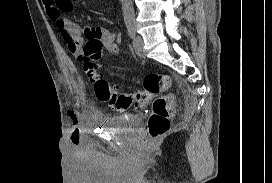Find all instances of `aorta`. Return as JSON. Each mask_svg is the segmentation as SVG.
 <instances>
[{
  "label": "aorta",
  "instance_id": "aorta-1",
  "mask_svg": "<svg viewBox=\"0 0 272 183\" xmlns=\"http://www.w3.org/2000/svg\"><path fill=\"white\" fill-rule=\"evenodd\" d=\"M121 5L125 24H133L135 22V13L132 0H121Z\"/></svg>",
  "mask_w": 272,
  "mask_h": 183
}]
</instances>
